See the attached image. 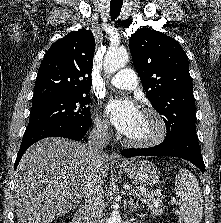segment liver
<instances>
[{
    "label": "liver",
    "instance_id": "obj_1",
    "mask_svg": "<svg viewBox=\"0 0 221 223\" xmlns=\"http://www.w3.org/2000/svg\"><path fill=\"white\" fill-rule=\"evenodd\" d=\"M90 168L87 146L65 138H46L20 160L15 177L18 223H50L77 207L85 195ZM109 171L107 156L100 174Z\"/></svg>",
    "mask_w": 221,
    "mask_h": 223
}]
</instances>
